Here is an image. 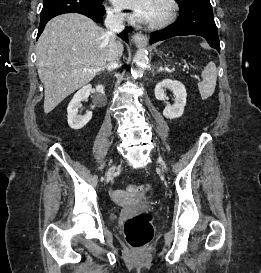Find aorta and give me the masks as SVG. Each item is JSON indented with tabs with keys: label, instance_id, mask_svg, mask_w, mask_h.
<instances>
[{
	"label": "aorta",
	"instance_id": "1",
	"mask_svg": "<svg viewBox=\"0 0 261 273\" xmlns=\"http://www.w3.org/2000/svg\"><path fill=\"white\" fill-rule=\"evenodd\" d=\"M133 62L135 66L132 69L133 76H139L144 72L148 63V51L145 48H140L136 52Z\"/></svg>",
	"mask_w": 261,
	"mask_h": 273
}]
</instances>
